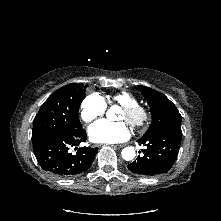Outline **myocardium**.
I'll return each mask as SVG.
<instances>
[{"label": "myocardium", "mask_w": 221, "mask_h": 221, "mask_svg": "<svg viewBox=\"0 0 221 221\" xmlns=\"http://www.w3.org/2000/svg\"><path fill=\"white\" fill-rule=\"evenodd\" d=\"M123 111L126 113V121L133 128H141L147 124L150 119L149 109L141 104L124 106Z\"/></svg>", "instance_id": "obj_1"}]
</instances>
